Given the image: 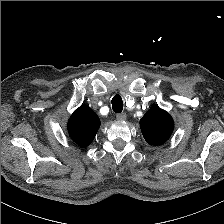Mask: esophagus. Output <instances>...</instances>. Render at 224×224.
I'll list each match as a JSON object with an SVG mask.
<instances>
[{"label": "esophagus", "instance_id": "obj_1", "mask_svg": "<svg viewBox=\"0 0 224 224\" xmlns=\"http://www.w3.org/2000/svg\"><path fill=\"white\" fill-rule=\"evenodd\" d=\"M116 118L120 121H123L127 118V115H126V113H119L116 115Z\"/></svg>", "mask_w": 224, "mask_h": 224}]
</instances>
